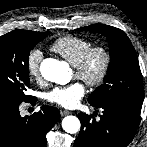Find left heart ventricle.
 Returning a JSON list of instances; mask_svg holds the SVG:
<instances>
[{
  "mask_svg": "<svg viewBox=\"0 0 147 147\" xmlns=\"http://www.w3.org/2000/svg\"><path fill=\"white\" fill-rule=\"evenodd\" d=\"M100 66H101V59H100V57H96V58L93 60L91 66H90V68H89V70H88V75H90V76L96 75L97 72H98L99 69H100Z\"/></svg>",
  "mask_w": 147,
  "mask_h": 147,
  "instance_id": "1",
  "label": "left heart ventricle"
}]
</instances>
